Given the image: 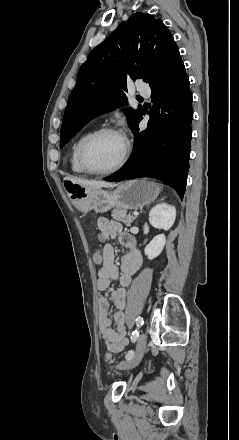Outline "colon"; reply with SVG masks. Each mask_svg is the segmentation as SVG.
<instances>
[{
  "mask_svg": "<svg viewBox=\"0 0 239 440\" xmlns=\"http://www.w3.org/2000/svg\"><path fill=\"white\" fill-rule=\"evenodd\" d=\"M93 261L96 265L102 264L103 257L99 250L93 252ZM106 363L111 364L114 361V357L111 353H106L104 356Z\"/></svg>",
  "mask_w": 239,
  "mask_h": 440,
  "instance_id": "5ec220e1",
  "label": "colon"
}]
</instances>
